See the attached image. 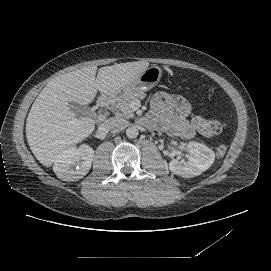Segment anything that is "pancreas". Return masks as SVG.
I'll use <instances>...</instances> for the list:
<instances>
[{
	"mask_svg": "<svg viewBox=\"0 0 271 271\" xmlns=\"http://www.w3.org/2000/svg\"><path fill=\"white\" fill-rule=\"evenodd\" d=\"M143 98L142 93L127 94L124 98L118 100L115 108L118 111L117 115L125 118L134 117V109L131 107L132 102Z\"/></svg>",
	"mask_w": 271,
	"mask_h": 271,
	"instance_id": "obj_1",
	"label": "pancreas"
}]
</instances>
